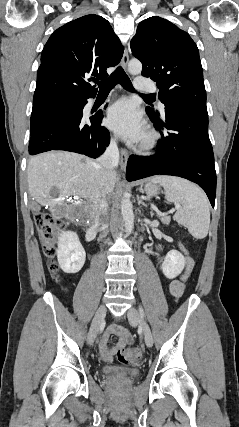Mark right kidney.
Returning a JSON list of instances; mask_svg holds the SVG:
<instances>
[{"label":"right kidney","instance_id":"1","mask_svg":"<svg viewBox=\"0 0 239 427\" xmlns=\"http://www.w3.org/2000/svg\"><path fill=\"white\" fill-rule=\"evenodd\" d=\"M57 259L65 273H77L84 266L86 253L75 232H63L58 238Z\"/></svg>","mask_w":239,"mask_h":427}]
</instances>
